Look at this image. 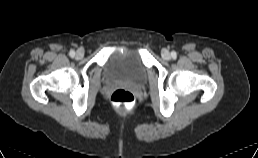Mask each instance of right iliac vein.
Wrapping results in <instances>:
<instances>
[{"mask_svg":"<svg viewBox=\"0 0 258 158\" xmlns=\"http://www.w3.org/2000/svg\"><path fill=\"white\" fill-rule=\"evenodd\" d=\"M83 55H84L83 50H78V51L76 52V58H77V59H81V58L83 57Z\"/></svg>","mask_w":258,"mask_h":158,"instance_id":"63e3f726","label":"right iliac vein"}]
</instances>
